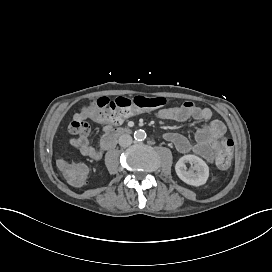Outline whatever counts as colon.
I'll use <instances>...</instances> for the list:
<instances>
[{"mask_svg":"<svg viewBox=\"0 0 272 272\" xmlns=\"http://www.w3.org/2000/svg\"><path fill=\"white\" fill-rule=\"evenodd\" d=\"M113 102L106 96H98L96 98V105L98 109H101L103 114H106V118L112 124H120L126 120L130 115L137 111L142 110H157L164 107L167 104V99L164 97H148V96H136L134 98H127L123 95H115ZM111 110V111H110ZM68 133L70 134V142L73 141V137H86L90 133V125L81 118L73 119L69 122ZM208 144L211 147L216 148L215 162L219 169L225 170L230 166V162L234 153V141L228 139L225 133L214 131L208 135ZM60 174L68 177L69 184L77 187L82 184L83 178L87 176L88 170L85 165L65 162L60 165Z\"/></svg>","mask_w":272,"mask_h":272,"instance_id":"colon-1","label":"colon"}]
</instances>
